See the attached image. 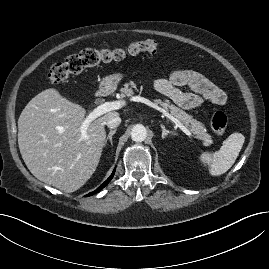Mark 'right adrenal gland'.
Segmentation results:
<instances>
[{
  "label": "right adrenal gland",
  "instance_id": "1",
  "mask_svg": "<svg viewBox=\"0 0 269 269\" xmlns=\"http://www.w3.org/2000/svg\"><path fill=\"white\" fill-rule=\"evenodd\" d=\"M117 129L111 130L107 136V138L104 141V146L107 144V141L109 140L111 146H113L112 136L116 133Z\"/></svg>",
  "mask_w": 269,
  "mask_h": 269
}]
</instances>
